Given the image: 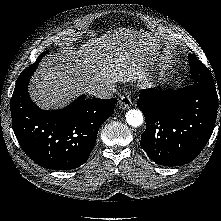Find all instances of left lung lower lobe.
I'll list each match as a JSON object with an SVG mask.
<instances>
[{
  "mask_svg": "<svg viewBox=\"0 0 221 221\" xmlns=\"http://www.w3.org/2000/svg\"><path fill=\"white\" fill-rule=\"evenodd\" d=\"M219 103L221 93L202 83L172 91L141 90L137 106L146 120L141 147L157 164L189 163L211 137Z\"/></svg>",
  "mask_w": 221,
  "mask_h": 221,
  "instance_id": "obj_1",
  "label": "left lung lower lobe"
}]
</instances>
